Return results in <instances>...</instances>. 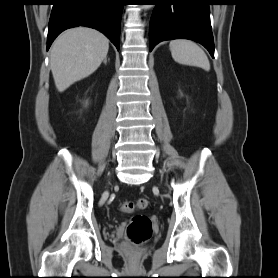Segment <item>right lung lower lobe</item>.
<instances>
[{"label":"right lung lower lobe","instance_id":"right-lung-lower-lobe-1","mask_svg":"<svg viewBox=\"0 0 278 278\" xmlns=\"http://www.w3.org/2000/svg\"><path fill=\"white\" fill-rule=\"evenodd\" d=\"M47 50L63 30L87 26L104 33L119 49L123 0H53Z\"/></svg>","mask_w":278,"mask_h":278}]
</instances>
